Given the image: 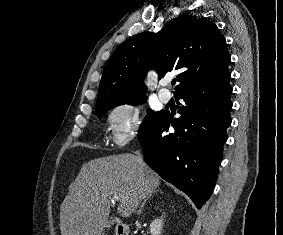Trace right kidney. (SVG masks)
<instances>
[{"mask_svg": "<svg viewBox=\"0 0 283 235\" xmlns=\"http://www.w3.org/2000/svg\"><path fill=\"white\" fill-rule=\"evenodd\" d=\"M163 227L162 219H155L150 224L151 235H160Z\"/></svg>", "mask_w": 283, "mask_h": 235, "instance_id": "obj_1", "label": "right kidney"}]
</instances>
